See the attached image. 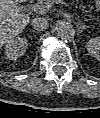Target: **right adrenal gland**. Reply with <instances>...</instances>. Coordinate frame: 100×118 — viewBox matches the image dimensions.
Returning <instances> with one entry per match:
<instances>
[{
	"label": "right adrenal gland",
	"instance_id": "right-adrenal-gland-1",
	"mask_svg": "<svg viewBox=\"0 0 100 118\" xmlns=\"http://www.w3.org/2000/svg\"><path fill=\"white\" fill-rule=\"evenodd\" d=\"M32 31H33V32H36L33 28H32ZM36 33H38V32H36Z\"/></svg>",
	"mask_w": 100,
	"mask_h": 118
}]
</instances>
